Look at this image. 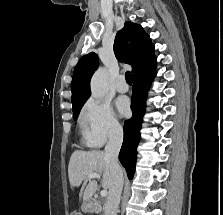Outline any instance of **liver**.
I'll list each match as a JSON object with an SVG mask.
<instances>
[{
    "instance_id": "obj_1",
    "label": "liver",
    "mask_w": 223,
    "mask_h": 215,
    "mask_svg": "<svg viewBox=\"0 0 223 215\" xmlns=\"http://www.w3.org/2000/svg\"><path fill=\"white\" fill-rule=\"evenodd\" d=\"M89 173H102L103 187H110L112 173L110 169V159L106 157L104 151H73L69 165L68 175L71 185H80L82 181H89L83 193V199H91L97 189V181L93 177H88Z\"/></svg>"
}]
</instances>
